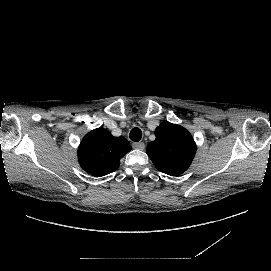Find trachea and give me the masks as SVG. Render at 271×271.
<instances>
[{
  "instance_id": "3493384b",
  "label": "trachea",
  "mask_w": 271,
  "mask_h": 271,
  "mask_svg": "<svg viewBox=\"0 0 271 271\" xmlns=\"http://www.w3.org/2000/svg\"><path fill=\"white\" fill-rule=\"evenodd\" d=\"M141 137H142V132L139 128H133L131 131H130V139L132 141H140L141 140Z\"/></svg>"
}]
</instances>
